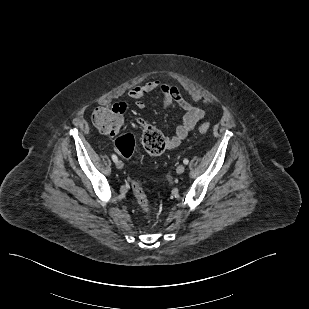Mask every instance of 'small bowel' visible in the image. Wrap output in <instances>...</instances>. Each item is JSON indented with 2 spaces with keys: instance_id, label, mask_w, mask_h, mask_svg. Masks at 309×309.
Returning <instances> with one entry per match:
<instances>
[{
  "instance_id": "c3829d8e",
  "label": "small bowel",
  "mask_w": 309,
  "mask_h": 309,
  "mask_svg": "<svg viewBox=\"0 0 309 309\" xmlns=\"http://www.w3.org/2000/svg\"><path fill=\"white\" fill-rule=\"evenodd\" d=\"M159 92L165 108H179L183 114L180 124L176 127L175 133L166 139V148H176L194 129V127L204 118L205 112L197 106L188 103L181 95L178 87L164 80H151L142 85L133 86L128 91V96L135 101L139 109L145 107L143 101L146 94ZM138 123L141 127L147 126V122L139 118Z\"/></svg>"
}]
</instances>
